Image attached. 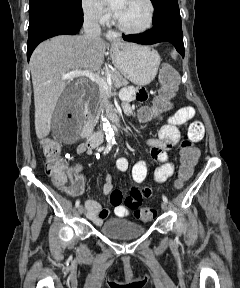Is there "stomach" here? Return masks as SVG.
Masks as SVG:
<instances>
[{"label": "stomach", "instance_id": "stomach-1", "mask_svg": "<svg viewBox=\"0 0 240 288\" xmlns=\"http://www.w3.org/2000/svg\"><path fill=\"white\" fill-rule=\"evenodd\" d=\"M110 55L119 72L140 86L153 81L161 62L160 55L151 47L120 40L111 45Z\"/></svg>", "mask_w": 240, "mask_h": 288}]
</instances>
